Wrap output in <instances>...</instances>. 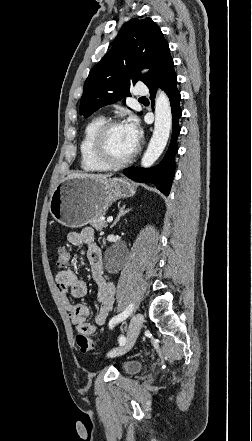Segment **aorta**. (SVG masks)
<instances>
[{"label": "aorta", "instance_id": "1", "mask_svg": "<svg viewBox=\"0 0 252 441\" xmlns=\"http://www.w3.org/2000/svg\"><path fill=\"white\" fill-rule=\"evenodd\" d=\"M172 126V114L170 101L166 93L159 90L155 99V123L154 131L146 152L144 153L141 166H152L164 151L169 139Z\"/></svg>", "mask_w": 252, "mask_h": 441}]
</instances>
